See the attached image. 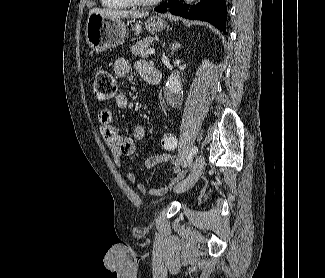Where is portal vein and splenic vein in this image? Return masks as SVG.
<instances>
[{
    "label": "portal vein and splenic vein",
    "instance_id": "1",
    "mask_svg": "<svg viewBox=\"0 0 325 278\" xmlns=\"http://www.w3.org/2000/svg\"><path fill=\"white\" fill-rule=\"evenodd\" d=\"M147 53L149 55H153L155 53V50L153 48L148 49Z\"/></svg>",
    "mask_w": 325,
    "mask_h": 278
}]
</instances>
